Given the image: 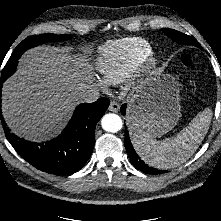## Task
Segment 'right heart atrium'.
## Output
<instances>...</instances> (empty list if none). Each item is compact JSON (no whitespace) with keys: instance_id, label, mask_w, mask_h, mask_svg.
Here are the masks:
<instances>
[{"instance_id":"obj_1","label":"right heart atrium","mask_w":221,"mask_h":221,"mask_svg":"<svg viewBox=\"0 0 221 221\" xmlns=\"http://www.w3.org/2000/svg\"><path fill=\"white\" fill-rule=\"evenodd\" d=\"M99 82V85L102 87V88H105L106 87V85H105V83L103 82V81H98Z\"/></svg>"}]
</instances>
